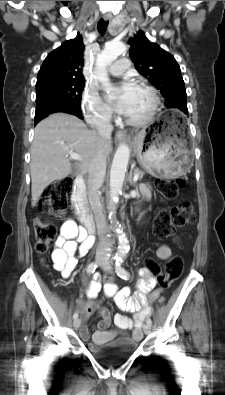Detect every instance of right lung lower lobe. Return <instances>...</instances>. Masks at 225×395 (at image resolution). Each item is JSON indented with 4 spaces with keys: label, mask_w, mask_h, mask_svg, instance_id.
<instances>
[{
    "label": "right lung lower lobe",
    "mask_w": 225,
    "mask_h": 395,
    "mask_svg": "<svg viewBox=\"0 0 225 395\" xmlns=\"http://www.w3.org/2000/svg\"><path fill=\"white\" fill-rule=\"evenodd\" d=\"M56 112H66V113L73 114L81 119L83 118L80 105L68 104V105H62V106L55 107L38 117L35 116V124H37L40 120L45 118L47 115L56 113Z\"/></svg>",
    "instance_id": "98d812e1"
}]
</instances>
